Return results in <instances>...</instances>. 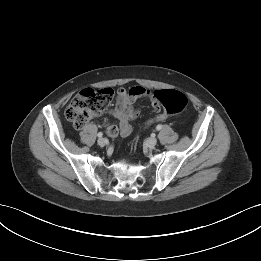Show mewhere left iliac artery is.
I'll return each mask as SVG.
<instances>
[{
  "label": "left iliac artery",
  "instance_id": "obj_1",
  "mask_svg": "<svg viewBox=\"0 0 261 261\" xmlns=\"http://www.w3.org/2000/svg\"><path fill=\"white\" fill-rule=\"evenodd\" d=\"M161 129H162V125H160V124L157 125L156 130L159 131V130H161Z\"/></svg>",
  "mask_w": 261,
  "mask_h": 261
}]
</instances>
